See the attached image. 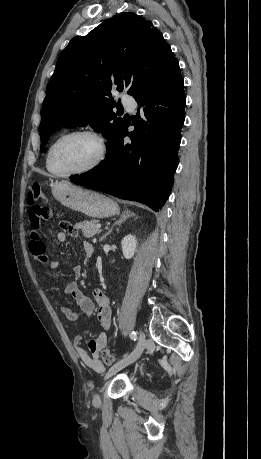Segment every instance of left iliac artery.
Returning a JSON list of instances; mask_svg holds the SVG:
<instances>
[{
  "label": "left iliac artery",
  "mask_w": 261,
  "mask_h": 459,
  "mask_svg": "<svg viewBox=\"0 0 261 459\" xmlns=\"http://www.w3.org/2000/svg\"><path fill=\"white\" fill-rule=\"evenodd\" d=\"M130 338H131L132 340L136 341V340H137V334H136V332L133 331V332L130 334Z\"/></svg>",
  "instance_id": "44dca946"
}]
</instances>
